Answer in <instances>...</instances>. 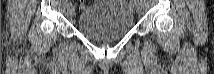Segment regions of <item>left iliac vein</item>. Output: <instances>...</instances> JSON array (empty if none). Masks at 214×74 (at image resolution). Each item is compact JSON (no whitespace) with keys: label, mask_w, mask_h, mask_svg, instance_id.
Here are the masks:
<instances>
[{"label":"left iliac vein","mask_w":214,"mask_h":74,"mask_svg":"<svg viewBox=\"0 0 214 74\" xmlns=\"http://www.w3.org/2000/svg\"><path fill=\"white\" fill-rule=\"evenodd\" d=\"M135 11H136V13H137L138 15L142 14V11H143L142 6H141V5H137V6L135 7Z\"/></svg>","instance_id":"4c4485c4"}]
</instances>
